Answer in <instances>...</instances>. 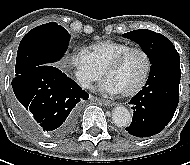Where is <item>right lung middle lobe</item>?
Returning <instances> with one entry per match:
<instances>
[{"label":"right lung middle lobe","mask_w":190,"mask_h":165,"mask_svg":"<svg viewBox=\"0 0 190 165\" xmlns=\"http://www.w3.org/2000/svg\"><path fill=\"white\" fill-rule=\"evenodd\" d=\"M70 34L56 22L30 30L21 40L16 58L15 76L41 65H52L63 57Z\"/></svg>","instance_id":"dd1d6c3e"}]
</instances>
